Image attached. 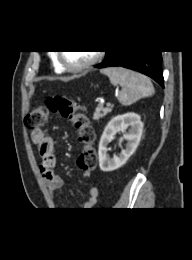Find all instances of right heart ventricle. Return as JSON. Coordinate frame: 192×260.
I'll return each instance as SVG.
<instances>
[{"mask_svg": "<svg viewBox=\"0 0 192 260\" xmlns=\"http://www.w3.org/2000/svg\"><path fill=\"white\" fill-rule=\"evenodd\" d=\"M52 63H53V67H54L56 72H62L63 71V68L61 67V65H60L56 56L52 57Z\"/></svg>", "mask_w": 192, "mask_h": 260, "instance_id": "e07e8e85", "label": "right heart ventricle"}]
</instances>
